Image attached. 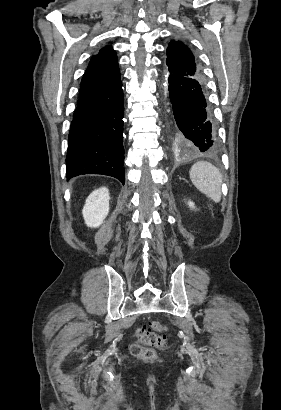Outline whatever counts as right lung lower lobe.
Wrapping results in <instances>:
<instances>
[{"label":"right lung lower lobe","instance_id":"obj_1","mask_svg":"<svg viewBox=\"0 0 281 410\" xmlns=\"http://www.w3.org/2000/svg\"><path fill=\"white\" fill-rule=\"evenodd\" d=\"M122 82L79 97L68 137L67 178L104 174L125 183Z\"/></svg>","mask_w":281,"mask_h":410}]
</instances>
